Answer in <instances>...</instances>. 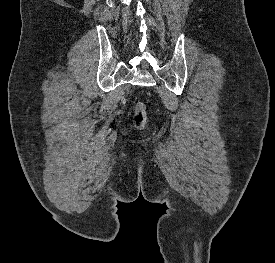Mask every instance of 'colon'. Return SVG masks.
Segmentation results:
<instances>
[{
	"label": "colon",
	"instance_id": "colon-1",
	"mask_svg": "<svg viewBox=\"0 0 275 263\" xmlns=\"http://www.w3.org/2000/svg\"><path fill=\"white\" fill-rule=\"evenodd\" d=\"M133 122L138 129L145 128L147 124V113L144 103L139 102L135 107V112L133 116Z\"/></svg>",
	"mask_w": 275,
	"mask_h": 263
}]
</instances>
